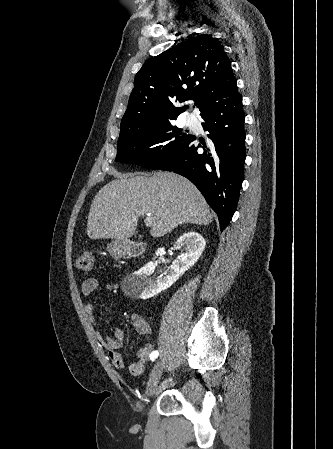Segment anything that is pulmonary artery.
<instances>
[{
    "label": "pulmonary artery",
    "mask_w": 333,
    "mask_h": 449,
    "mask_svg": "<svg viewBox=\"0 0 333 449\" xmlns=\"http://www.w3.org/2000/svg\"><path fill=\"white\" fill-rule=\"evenodd\" d=\"M193 123V120L189 119L188 124L191 125Z\"/></svg>",
    "instance_id": "e3ab8cb5"
}]
</instances>
